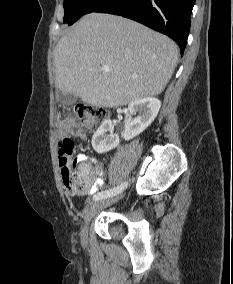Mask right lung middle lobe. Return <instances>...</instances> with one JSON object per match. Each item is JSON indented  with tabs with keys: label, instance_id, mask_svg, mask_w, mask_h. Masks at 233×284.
<instances>
[{
	"label": "right lung middle lobe",
	"instance_id": "dd1d6c3e",
	"mask_svg": "<svg viewBox=\"0 0 233 284\" xmlns=\"http://www.w3.org/2000/svg\"><path fill=\"white\" fill-rule=\"evenodd\" d=\"M108 0H65L63 23L72 25L81 16L93 12Z\"/></svg>",
	"mask_w": 233,
	"mask_h": 284
}]
</instances>
